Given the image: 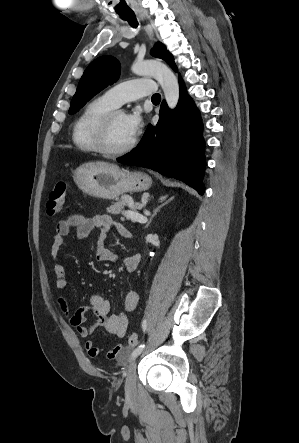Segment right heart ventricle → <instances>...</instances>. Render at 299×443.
I'll list each match as a JSON object with an SVG mask.
<instances>
[{
  "mask_svg": "<svg viewBox=\"0 0 299 443\" xmlns=\"http://www.w3.org/2000/svg\"><path fill=\"white\" fill-rule=\"evenodd\" d=\"M115 108L116 106L104 96L90 101L85 106L76 119L72 131V141L78 150L85 153L98 152L95 141L97 126L101 118Z\"/></svg>",
  "mask_w": 299,
  "mask_h": 443,
  "instance_id": "e07e8e85",
  "label": "right heart ventricle"
}]
</instances>
